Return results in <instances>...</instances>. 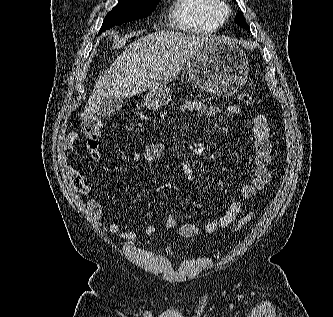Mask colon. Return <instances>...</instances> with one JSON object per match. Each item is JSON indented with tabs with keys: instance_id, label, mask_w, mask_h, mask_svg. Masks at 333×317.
Here are the masks:
<instances>
[{
	"instance_id": "obj_1",
	"label": "colon",
	"mask_w": 333,
	"mask_h": 317,
	"mask_svg": "<svg viewBox=\"0 0 333 317\" xmlns=\"http://www.w3.org/2000/svg\"><path fill=\"white\" fill-rule=\"evenodd\" d=\"M239 100L245 105H252L253 104V97L250 93H241L239 95ZM100 121L93 120L89 121L84 125V131L87 138V146L89 149L93 150L98 146V133L100 129ZM252 212H248L245 216H243L232 228V231H236L239 228L243 227L251 218Z\"/></svg>"
}]
</instances>
